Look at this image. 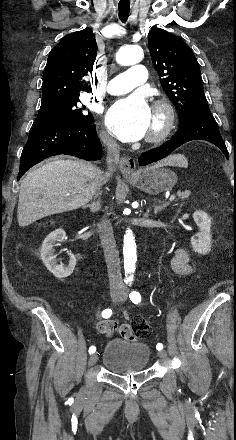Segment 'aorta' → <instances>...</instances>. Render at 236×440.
<instances>
[{
  "mask_svg": "<svg viewBox=\"0 0 236 440\" xmlns=\"http://www.w3.org/2000/svg\"><path fill=\"white\" fill-rule=\"evenodd\" d=\"M144 57L143 49L139 46H125L116 54L118 64L127 66L139 63ZM124 269L128 279L133 277L136 269V242L132 230L127 229L123 241Z\"/></svg>",
  "mask_w": 236,
  "mask_h": 440,
  "instance_id": "obj_1",
  "label": "aorta"
}]
</instances>
